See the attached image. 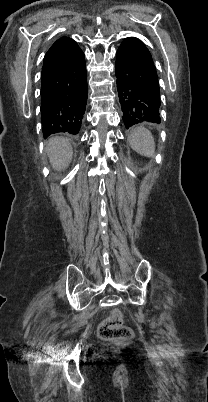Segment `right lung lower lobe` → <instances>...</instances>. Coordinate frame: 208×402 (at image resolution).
<instances>
[{"instance_id": "98d812e1", "label": "right lung lower lobe", "mask_w": 208, "mask_h": 402, "mask_svg": "<svg viewBox=\"0 0 208 402\" xmlns=\"http://www.w3.org/2000/svg\"><path fill=\"white\" fill-rule=\"evenodd\" d=\"M43 136L80 130L87 103L85 55L68 37L58 39L44 57L41 73Z\"/></svg>"}]
</instances>
